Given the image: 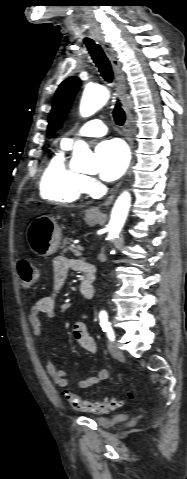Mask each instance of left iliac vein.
I'll list each match as a JSON object with an SVG mask.
<instances>
[{
  "instance_id": "1",
  "label": "left iliac vein",
  "mask_w": 187,
  "mask_h": 479,
  "mask_svg": "<svg viewBox=\"0 0 187 479\" xmlns=\"http://www.w3.org/2000/svg\"><path fill=\"white\" fill-rule=\"evenodd\" d=\"M108 350L114 358H116V359H122L123 358V353L118 348V346L115 342H112V341L108 342Z\"/></svg>"
}]
</instances>
